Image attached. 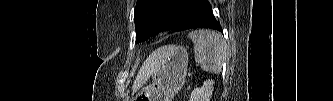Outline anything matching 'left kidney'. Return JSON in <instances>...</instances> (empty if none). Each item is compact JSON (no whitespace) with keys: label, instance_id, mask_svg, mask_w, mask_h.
<instances>
[{"label":"left kidney","instance_id":"1","mask_svg":"<svg viewBox=\"0 0 333 101\" xmlns=\"http://www.w3.org/2000/svg\"><path fill=\"white\" fill-rule=\"evenodd\" d=\"M213 80L204 81L203 85L199 88H195L191 95L190 101H210L213 92Z\"/></svg>","mask_w":333,"mask_h":101}]
</instances>
